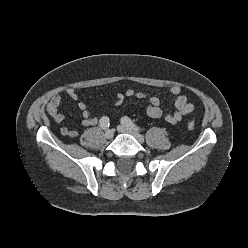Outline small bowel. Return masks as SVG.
Returning <instances> with one entry per match:
<instances>
[{"instance_id":"1","label":"small bowel","mask_w":248,"mask_h":248,"mask_svg":"<svg viewBox=\"0 0 248 248\" xmlns=\"http://www.w3.org/2000/svg\"><path fill=\"white\" fill-rule=\"evenodd\" d=\"M66 94L73 100H78V93L74 88H68ZM168 95L174 98L175 111L171 114H164L161 109L160 98L156 95H147L146 93L136 90L134 88L128 89L125 93H118L115 97V105H121L126 97L148 98L149 105L146 109V114L150 118L158 119L164 118L170 124L179 123L183 118L191 115L194 111V105L188 102L187 97L182 93L178 86L172 87ZM62 103V96L60 93L55 94L46 104V112L52 117L55 123L60 124L64 121L65 116L59 111ZM78 108L81 111V123L84 126H95L98 124L99 119L91 114L87 106L83 102L78 103ZM100 122V121H99ZM60 133L63 136L75 138L78 136V131L68 127H61Z\"/></svg>"}]
</instances>
